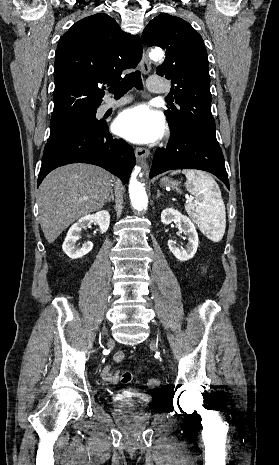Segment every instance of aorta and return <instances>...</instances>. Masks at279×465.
Instances as JSON below:
<instances>
[{
    "mask_svg": "<svg viewBox=\"0 0 279 465\" xmlns=\"http://www.w3.org/2000/svg\"><path fill=\"white\" fill-rule=\"evenodd\" d=\"M150 57L153 60H160L163 57V52L161 50H154L150 53ZM138 176H142L141 168L135 167L129 183V194L133 208L142 211L147 208L148 198L143 184L137 179Z\"/></svg>",
    "mask_w": 279,
    "mask_h": 465,
    "instance_id": "obj_1",
    "label": "aorta"
}]
</instances>
